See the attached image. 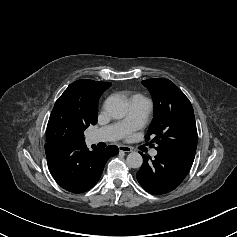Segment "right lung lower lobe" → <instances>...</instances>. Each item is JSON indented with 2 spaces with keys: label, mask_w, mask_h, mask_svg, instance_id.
I'll return each mask as SVG.
<instances>
[{
  "label": "right lung lower lobe",
  "mask_w": 237,
  "mask_h": 237,
  "mask_svg": "<svg viewBox=\"0 0 237 237\" xmlns=\"http://www.w3.org/2000/svg\"><path fill=\"white\" fill-rule=\"evenodd\" d=\"M48 168L55 181L65 190L83 193L100 179L107 160L119 153L115 145L89 150L85 142L45 144Z\"/></svg>",
  "instance_id": "1"
}]
</instances>
